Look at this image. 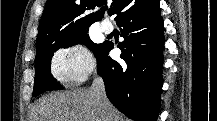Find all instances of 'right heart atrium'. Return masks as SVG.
<instances>
[{
	"instance_id": "obj_1",
	"label": "right heart atrium",
	"mask_w": 217,
	"mask_h": 121,
	"mask_svg": "<svg viewBox=\"0 0 217 121\" xmlns=\"http://www.w3.org/2000/svg\"><path fill=\"white\" fill-rule=\"evenodd\" d=\"M96 67L93 55L79 45L58 51L51 62V72L60 82H80Z\"/></svg>"
}]
</instances>
